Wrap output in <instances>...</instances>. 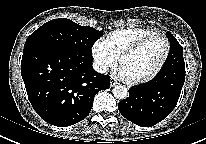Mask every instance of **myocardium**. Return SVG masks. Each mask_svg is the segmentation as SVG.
I'll list each match as a JSON object with an SVG mask.
<instances>
[{"label":"myocardium","mask_w":206,"mask_h":144,"mask_svg":"<svg viewBox=\"0 0 206 144\" xmlns=\"http://www.w3.org/2000/svg\"><path fill=\"white\" fill-rule=\"evenodd\" d=\"M156 38L161 39L165 45V52H164L162 60L160 61L159 65L156 67V69L152 73H150L149 75H147L143 78H139V79H129L128 78L130 83H132L134 85H142V84L149 83L158 77V75L162 72L163 68L165 67V65L168 61L170 51H171L170 42L166 36L159 34V33H154V34L148 35V36L136 41L132 45L128 46L125 50L122 51V53L118 57V62H119V65L121 66L123 61L127 57L134 54L140 48H142L146 43H148L149 41L156 39Z\"/></svg>","instance_id":"obj_1"}]
</instances>
